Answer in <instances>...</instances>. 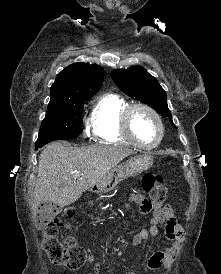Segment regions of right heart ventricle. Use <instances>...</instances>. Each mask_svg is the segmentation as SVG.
<instances>
[{"mask_svg":"<svg viewBox=\"0 0 221 274\" xmlns=\"http://www.w3.org/2000/svg\"><path fill=\"white\" fill-rule=\"evenodd\" d=\"M130 104V101L117 93L101 95L95 101L90 116L95 138L106 143L133 145L122 130V115Z\"/></svg>","mask_w":221,"mask_h":274,"instance_id":"right-heart-ventricle-1","label":"right heart ventricle"}]
</instances>
